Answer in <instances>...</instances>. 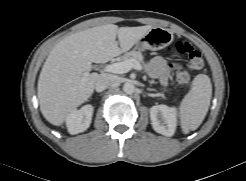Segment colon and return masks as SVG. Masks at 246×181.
I'll return each instance as SVG.
<instances>
[{"label": "colon", "instance_id": "colon-1", "mask_svg": "<svg viewBox=\"0 0 246 181\" xmlns=\"http://www.w3.org/2000/svg\"><path fill=\"white\" fill-rule=\"evenodd\" d=\"M168 54L184 55L188 59V64L193 70H201L204 67V60L201 53L190 43L185 41H177L172 46L167 47ZM176 81L180 85H186L190 81V75L185 67L177 70Z\"/></svg>", "mask_w": 246, "mask_h": 181}]
</instances>
